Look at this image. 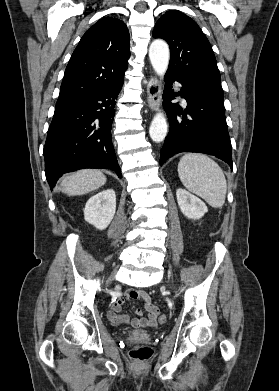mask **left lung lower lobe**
<instances>
[{"label":"left lung lower lobe","instance_id":"0a47b994","mask_svg":"<svg viewBox=\"0 0 279 391\" xmlns=\"http://www.w3.org/2000/svg\"><path fill=\"white\" fill-rule=\"evenodd\" d=\"M165 81L163 106L170 130L161 149L160 165L180 152H201L218 157L232 168L224 104L180 82L179 93L187 101L183 111L178 104L171 103L178 96L176 92L172 95V83L178 80L166 75Z\"/></svg>","mask_w":279,"mask_h":391}]
</instances>
